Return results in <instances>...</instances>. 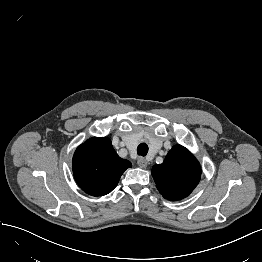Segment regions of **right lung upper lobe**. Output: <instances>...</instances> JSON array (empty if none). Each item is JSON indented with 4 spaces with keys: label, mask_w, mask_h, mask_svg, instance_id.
<instances>
[{
    "label": "right lung upper lobe",
    "mask_w": 262,
    "mask_h": 262,
    "mask_svg": "<svg viewBox=\"0 0 262 262\" xmlns=\"http://www.w3.org/2000/svg\"><path fill=\"white\" fill-rule=\"evenodd\" d=\"M130 161L120 158L111 140L95 137L81 144L74 153L72 168L81 189L92 195L110 193L123 172L131 167Z\"/></svg>",
    "instance_id": "right-lung-upper-lobe-1"
}]
</instances>
